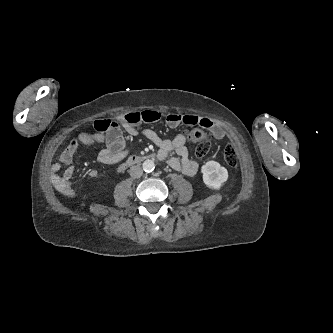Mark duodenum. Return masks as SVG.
<instances>
[{
	"mask_svg": "<svg viewBox=\"0 0 333 333\" xmlns=\"http://www.w3.org/2000/svg\"><path fill=\"white\" fill-rule=\"evenodd\" d=\"M151 157H152V155H147V156H144V155H132L123 164L120 165L119 171H123L126 168H128V167H130L132 165H135V164H139V163L143 162L144 160L149 159Z\"/></svg>",
	"mask_w": 333,
	"mask_h": 333,
	"instance_id": "410a0bca",
	"label": "duodenum"
}]
</instances>
